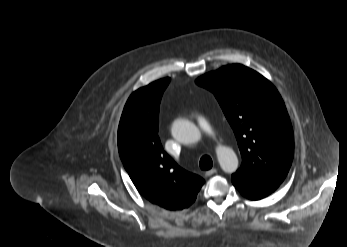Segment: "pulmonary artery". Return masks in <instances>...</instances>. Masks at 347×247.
<instances>
[{
    "label": "pulmonary artery",
    "mask_w": 347,
    "mask_h": 247,
    "mask_svg": "<svg viewBox=\"0 0 347 247\" xmlns=\"http://www.w3.org/2000/svg\"><path fill=\"white\" fill-rule=\"evenodd\" d=\"M197 121H198V125H199L200 129L203 132H205L206 134H208L210 136H214V132L212 130V127L204 118L199 117L197 119Z\"/></svg>",
    "instance_id": "obj_1"
}]
</instances>
